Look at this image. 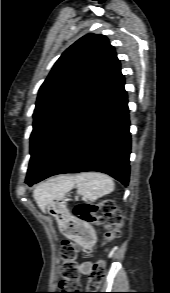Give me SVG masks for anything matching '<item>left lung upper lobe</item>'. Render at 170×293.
Listing matches in <instances>:
<instances>
[{
  "instance_id": "obj_1",
  "label": "left lung upper lobe",
  "mask_w": 170,
  "mask_h": 293,
  "mask_svg": "<svg viewBox=\"0 0 170 293\" xmlns=\"http://www.w3.org/2000/svg\"><path fill=\"white\" fill-rule=\"evenodd\" d=\"M121 77L114 47L103 35L87 34L60 56L39 89L27 177L45 170Z\"/></svg>"
}]
</instances>
